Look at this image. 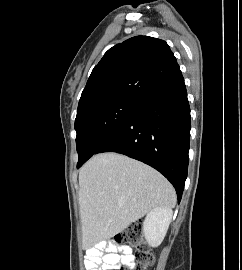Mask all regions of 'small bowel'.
<instances>
[{
	"label": "small bowel",
	"mask_w": 242,
	"mask_h": 270,
	"mask_svg": "<svg viewBox=\"0 0 242 270\" xmlns=\"http://www.w3.org/2000/svg\"><path fill=\"white\" fill-rule=\"evenodd\" d=\"M85 264L89 270H120L123 266L135 269L132 249L116 242L96 245L87 253Z\"/></svg>",
	"instance_id": "small-bowel-1"
}]
</instances>
